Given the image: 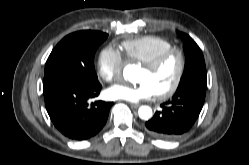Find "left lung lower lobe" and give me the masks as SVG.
I'll return each mask as SVG.
<instances>
[{
    "instance_id": "0a47b994",
    "label": "left lung lower lobe",
    "mask_w": 249,
    "mask_h": 165,
    "mask_svg": "<svg viewBox=\"0 0 249 165\" xmlns=\"http://www.w3.org/2000/svg\"><path fill=\"white\" fill-rule=\"evenodd\" d=\"M206 88L191 86L174 94L161 105L162 111L145 123L157 138L172 140L187 132L197 120L205 100Z\"/></svg>"
}]
</instances>
